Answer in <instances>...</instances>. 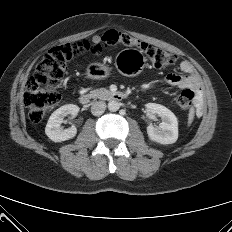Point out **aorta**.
<instances>
[{
	"mask_svg": "<svg viewBox=\"0 0 232 232\" xmlns=\"http://www.w3.org/2000/svg\"><path fill=\"white\" fill-rule=\"evenodd\" d=\"M119 108H120V104H119L118 101H116V100L109 101V103H108V109H109V111L116 112V111L119 110Z\"/></svg>",
	"mask_w": 232,
	"mask_h": 232,
	"instance_id": "aorta-1",
	"label": "aorta"
}]
</instances>
